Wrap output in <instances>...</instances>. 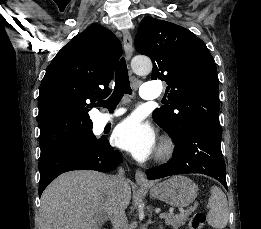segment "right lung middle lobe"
Segmentation results:
<instances>
[{
    "mask_svg": "<svg viewBox=\"0 0 261 229\" xmlns=\"http://www.w3.org/2000/svg\"><path fill=\"white\" fill-rule=\"evenodd\" d=\"M105 138L97 139L92 131L82 134L71 141L54 148H41V156L47 155L61 147H92L101 143Z\"/></svg>",
    "mask_w": 261,
    "mask_h": 229,
    "instance_id": "obj_1",
    "label": "right lung middle lobe"
}]
</instances>
